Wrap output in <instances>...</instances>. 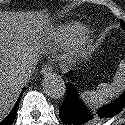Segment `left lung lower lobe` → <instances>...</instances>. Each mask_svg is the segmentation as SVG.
I'll return each mask as SVG.
<instances>
[{
    "instance_id": "1",
    "label": "left lung lower lobe",
    "mask_w": 125,
    "mask_h": 125,
    "mask_svg": "<svg viewBox=\"0 0 125 125\" xmlns=\"http://www.w3.org/2000/svg\"><path fill=\"white\" fill-rule=\"evenodd\" d=\"M125 106V92L113 103L91 112L78 98L71 83H67V92L63 105L59 110L60 120L68 125H92L96 121L105 120L118 114Z\"/></svg>"
}]
</instances>
